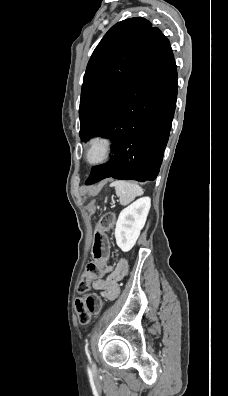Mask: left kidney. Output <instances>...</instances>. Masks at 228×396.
Masks as SVG:
<instances>
[{
	"instance_id": "obj_1",
	"label": "left kidney",
	"mask_w": 228,
	"mask_h": 396,
	"mask_svg": "<svg viewBox=\"0 0 228 396\" xmlns=\"http://www.w3.org/2000/svg\"><path fill=\"white\" fill-rule=\"evenodd\" d=\"M150 206L151 199L143 197L120 212L115 228V238L117 246L123 252L130 251L136 244L146 223Z\"/></svg>"
}]
</instances>
